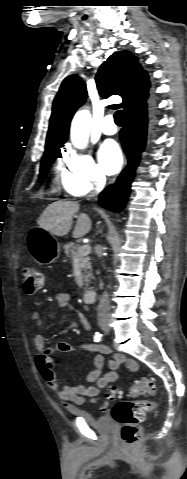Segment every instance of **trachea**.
Listing matches in <instances>:
<instances>
[{"instance_id":"obj_1","label":"trachea","mask_w":187,"mask_h":479,"mask_svg":"<svg viewBox=\"0 0 187 479\" xmlns=\"http://www.w3.org/2000/svg\"><path fill=\"white\" fill-rule=\"evenodd\" d=\"M114 120L117 125L124 124L123 110H118L114 114Z\"/></svg>"}]
</instances>
